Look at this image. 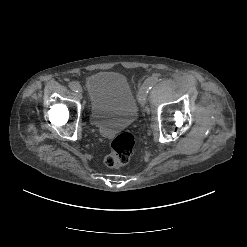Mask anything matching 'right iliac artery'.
I'll return each instance as SVG.
<instances>
[{
	"instance_id": "obj_1",
	"label": "right iliac artery",
	"mask_w": 247,
	"mask_h": 247,
	"mask_svg": "<svg viewBox=\"0 0 247 247\" xmlns=\"http://www.w3.org/2000/svg\"><path fill=\"white\" fill-rule=\"evenodd\" d=\"M69 87H70L71 90H73L75 92H78L79 90H81V86L77 82H70L69 83Z\"/></svg>"
}]
</instances>
